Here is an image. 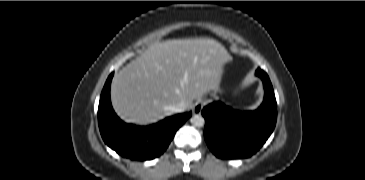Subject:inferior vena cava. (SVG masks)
Here are the masks:
<instances>
[{
  "mask_svg": "<svg viewBox=\"0 0 365 180\" xmlns=\"http://www.w3.org/2000/svg\"><path fill=\"white\" fill-rule=\"evenodd\" d=\"M185 109H186V105L184 102H180L176 106L171 108V110L173 112H183Z\"/></svg>",
  "mask_w": 365,
  "mask_h": 180,
  "instance_id": "obj_1",
  "label": "inferior vena cava"
}]
</instances>
